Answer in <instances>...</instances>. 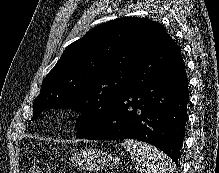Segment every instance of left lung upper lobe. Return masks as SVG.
<instances>
[{
	"mask_svg": "<svg viewBox=\"0 0 219 173\" xmlns=\"http://www.w3.org/2000/svg\"><path fill=\"white\" fill-rule=\"evenodd\" d=\"M168 36L161 24L145 18L125 17L92 28L64 50L43 80L31 120L45 109L65 106L82 112L76 137L93 133L132 89L137 66Z\"/></svg>",
	"mask_w": 219,
	"mask_h": 173,
	"instance_id": "1",
	"label": "left lung upper lobe"
}]
</instances>
